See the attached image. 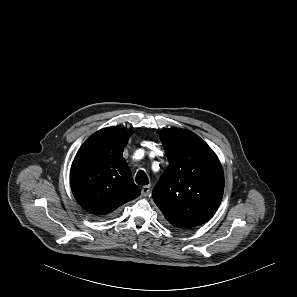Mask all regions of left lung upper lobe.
<instances>
[{
	"label": "left lung upper lobe",
	"mask_w": 297,
	"mask_h": 297,
	"mask_svg": "<svg viewBox=\"0 0 297 297\" xmlns=\"http://www.w3.org/2000/svg\"><path fill=\"white\" fill-rule=\"evenodd\" d=\"M160 138L170 165L153 190L154 202L174 227L187 229L207 222L224 192L218 157L189 130L164 129Z\"/></svg>",
	"instance_id": "obj_1"
}]
</instances>
